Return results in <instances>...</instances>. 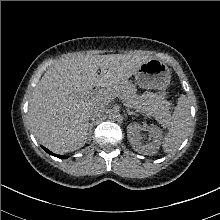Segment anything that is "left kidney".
<instances>
[{
  "instance_id": "obj_1",
  "label": "left kidney",
  "mask_w": 220,
  "mask_h": 220,
  "mask_svg": "<svg viewBox=\"0 0 220 220\" xmlns=\"http://www.w3.org/2000/svg\"><path fill=\"white\" fill-rule=\"evenodd\" d=\"M143 130V127L138 123H133L128 125L127 127V135L132 145L133 149L138 153L145 154V155H155L158 152L160 147L161 139H162V131L157 126H149L147 131L152 138V141L146 145H143L140 142V131Z\"/></svg>"
}]
</instances>
